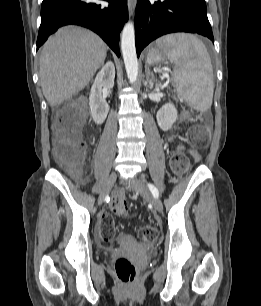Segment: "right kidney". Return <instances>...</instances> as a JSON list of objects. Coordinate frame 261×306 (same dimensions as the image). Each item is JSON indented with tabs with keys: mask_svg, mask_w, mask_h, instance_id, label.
I'll use <instances>...</instances> for the list:
<instances>
[{
	"mask_svg": "<svg viewBox=\"0 0 261 306\" xmlns=\"http://www.w3.org/2000/svg\"><path fill=\"white\" fill-rule=\"evenodd\" d=\"M115 66L108 61L98 72L89 95V107L92 118L96 124H102L109 112V105L103 92L114 86Z\"/></svg>",
	"mask_w": 261,
	"mask_h": 306,
	"instance_id": "1",
	"label": "right kidney"
}]
</instances>
